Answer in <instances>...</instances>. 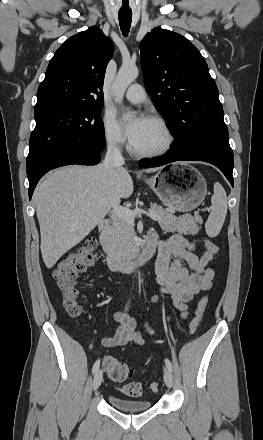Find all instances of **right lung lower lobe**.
<instances>
[{
	"mask_svg": "<svg viewBox=\"0 0 263 440\" xmlns=\"http://www.w3.org/2000/svg\"><path fill=\"white\" fill-rule=\"evenodd\" d=\"M105 147V141H79L72 145L59 146L41 159L27 166V177L29 180V199L40 178L49 170L57 167L80 164L95 165L100 160V153Z\"/></svg>",
	"mask_w": 263,
	"mask_h": 440,
	"instance_id": "98d812e1",
	"label": "right lung lower lobe"
}]
</instances>
